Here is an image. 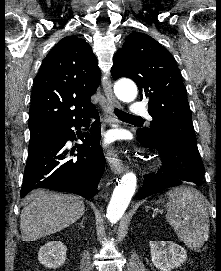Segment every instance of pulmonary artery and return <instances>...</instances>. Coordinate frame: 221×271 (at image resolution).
Instances as JSON below:
<instances>
[{
    "label": "pulmonary artery",
    "mask_w": 221,
    "mask_h": 271,
    "mask_svg": "<svg viewBox=\"0 0 221 271\" xmlns=\"http://www.w3.org/2000/svg\"><path fill=\"white\" fill-rule=\"evenodd\" d=\"M145 102H132L131 112H144Z\"/></svg>",
    "instance_id": "pulmonary-artery-1"
}]
</instances>
